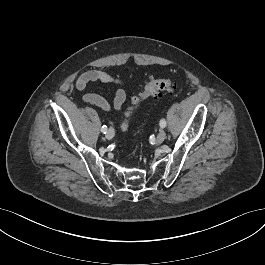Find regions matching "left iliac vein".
Instances as JSON below:
<instances>
[{
    "label": "left iliac vein",
    "mask_w": 265,
    "mask_h": 265,
    "mask_svg": "<svg viewBox=\"0 0 265 265\" xmlns=\"http://www.w3.org/2000/svg\"><path fill=\"white\" fill-rule=\"evenodd\" d=\"M166 138V132L164 129H161L157 135L156 142L158 144L162 143Z\"/></svg>",
    "instance_id": "obj_1"
}]
</instances>
